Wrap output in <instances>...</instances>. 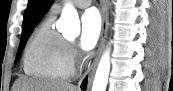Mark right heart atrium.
Returning <instances> with one entry per match:
<instances>
[{
	"label": "right heart atrium",
	"instance_id": "obj_1",
	"mask_svg": "<svg viewBox=\"0 0 173 91\" xmlns=\"http://www.w3.org/2000/svg\"><path fill=\"white\" fill-rule=\"evenodd\" d=\"M70 53H71V56H74V55H76V50H75V48L73 47V46H70Z\"/></svg>",
	"mask_w": 173,
	"mask_h": 91
}]
</instances>
